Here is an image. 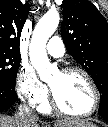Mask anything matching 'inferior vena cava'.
Returning <instances> with one entry per match:
<instances>
[{
  "instance_id": "obj_1",
  "label": "inferior vena cava",
  "mask_w": 108,
  "mask_h": 127,
  "mask_svg": "<svg viewBox=\"0 0 108 127\" xmlns=\"http://www.w3.org/2000/svg\"><path fill=\"white\" fill-rule=\"evenodd\" d=\"M18 115L19 116L30 115L34 120L38 119V116L33 114L28 107L23 108L22 106H20Z\"/></svg>"
}]
</instances>
